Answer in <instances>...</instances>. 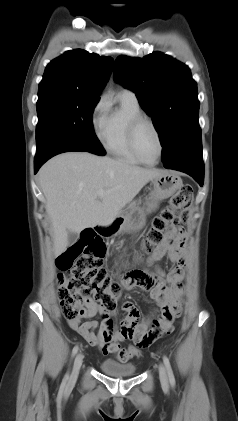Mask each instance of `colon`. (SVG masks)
Segmentation results:
<instances>
[{
  "instance_id": "colon-1",
  "label": "colon",
  "mask_w": 238,
  "mask_h": 421,
  "mask_svg": "<svg viewBox=\"0 0 238 421\" xmlns=\"http://www.w3.org/2000/svg\"><path fill=\"white\" fill-rule=\"evenodd\" d=\"M192 201L191 186L183 185L171 198L170 204L153 219L142 246L145 253H153L166 242L170 232H185L183 225L189 219ZM104 254L105 245L102 239L88 230L77 243L57 257L56 264L61 271L58 276V299L67 320H76L82 316L87 301L95 302L107 311L116 307L122 285L103 267ZM122 284L126 286L125 278ZM173 328L174 322L171 319L150 335L147 342L157 340L170 333ZM115 353L120 362H127L140 355L137 347H119Z\"/></svg>"
}]
</instances>
